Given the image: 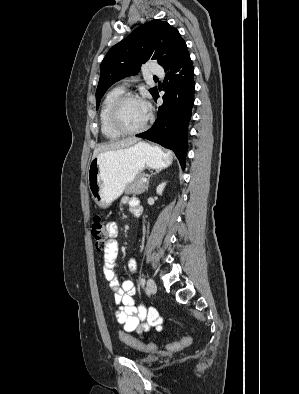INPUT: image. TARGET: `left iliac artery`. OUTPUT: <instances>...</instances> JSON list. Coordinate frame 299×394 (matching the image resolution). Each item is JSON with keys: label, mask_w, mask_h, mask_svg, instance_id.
Wrapping results in <instances>:
<instances>
[{"label": "left iliac artery", "mask_w": 299, "mask_h": 394, "mask_svg": "<svg viewBox=\"0 0 299 394\" xmlns=\"http://www.w3.org/2000/svg\"><path fill=\"white\" fill-rule=\"evenodd\" d=\"M145 282H146L145 278H142V279L140 280V284H141L142 286L145 285Z\"/></svg>", "instance_id": "44dca946"}]
</instances>
